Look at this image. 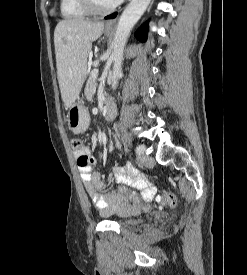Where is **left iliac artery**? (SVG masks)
Returning <instances> with one entry per match:
<instances>
[{"label": "left iliac artery", "mask_w": 247, "mask_h": 275, "mask_svg": "<svg viewBox=\"0 0 247 275\" xmlns=\"http://www.w3.org/2000/svg\"><path fill=\"white\" fill-rule=\"evenodd\" d=\"M143 150V148L141 147V145L140 146H138L137 148H136V153L138 154L139 152H141Z\"/></svg>", "instance_id": "1"}]
</instances>
